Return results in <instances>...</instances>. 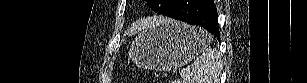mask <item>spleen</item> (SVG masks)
<instances>
[{"mask_svg": "<svg viewBox=\"0 0 307 83\" xmlns=\"http://www.w3.org/2000/svg\"><path fill=\"white\" fill-rule=\"evenodd\" d=\"M208 39L212 40L209 34ZM221 70V54L216 48L206 47L193 64L181 70L179 83H217Z\"/></svg>", "mask_w": 307, "mask_h": 83, "instance_id": "spleen-1", "label": "spleen"}]
</instances>
